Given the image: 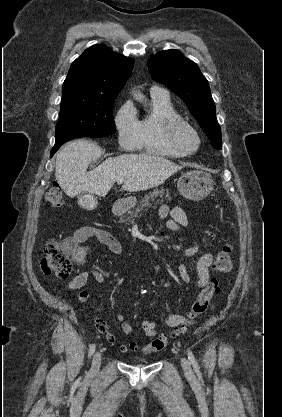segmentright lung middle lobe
Instances as JSON below:
<instances>
[{
    "mask_svg": "<svg viewBox=\"0 0 282 417\" xmlns=\"http://www.w3.org/2000/svg\"><path fill=\"white\" fill-rule=\"evenodd\" d=\"M117 93L62 94L55 140L68 137H104L115 132L113 110Z\"/></svg>",
    "mask_w": 282,
    "mask_h": 417,
    "instance_id": "1",
    "label": "right lung middle lobe"
}]
</instances>
